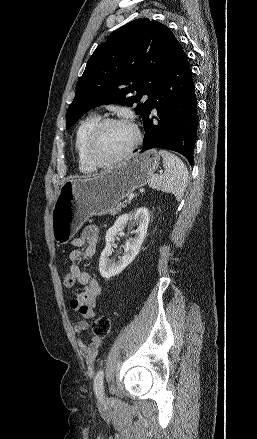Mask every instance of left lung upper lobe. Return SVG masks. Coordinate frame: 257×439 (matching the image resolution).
Returning <instances> with one entry per match:
<instances>
[{
    "instance_id": "left-lung-upper-lobe-1",
    "label": "left lung upper lobe",
    "mask_w": 257,
    "mask_h": 439,
    "mask_svg": "<svg viewBox=\"0 0 257 439\" xmlns=\"http://www.w3.org/2000/svg\"><path fill=\"white\" fill-rule=\"evenodd\" d=\"M178 40L165 25L136 19L110 34L87 62L67 111L69 129L93 106L119 103L137 106L142 120L152 104V93L173 58ZM135 92V96H130ZM147 95L146 100L142 97Z\"/></svg>"
}]
</instances>
